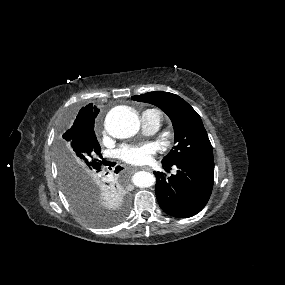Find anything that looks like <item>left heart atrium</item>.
Returning a JSON list of instances; mask_svg holds the SVG:
<instances>
[{"label": "left heart atrium", "instance_id": "left-heart-atrium-1", "mask_svg": "<svg viewBox=\"0 0 285 285\" xmlns=\"http://www.w3.org/2000/svg\"><path fill=\"white\" fill-rule=\"evenodd\" d=\"M156 147L152 143L136 145H122L117 150L118 157L126 163L132 165H145L150 162Z\"/></svg>", "mask_w": 285, "mask_h": 285}]
</instances>
